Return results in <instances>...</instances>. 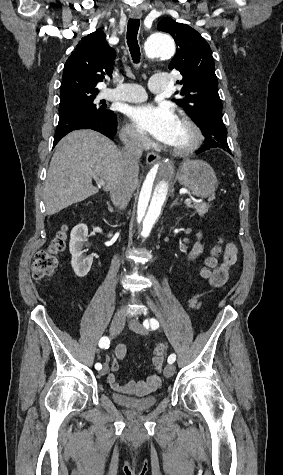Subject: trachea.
I'll return each instance as SVG.
<instances>
[{
    "label": "trachea",
    "instance_id": "1",
    "mask_svg": "<svg viewBox=\"0 0 283 475\" xmlns=\"http://www.w3.org/2000/svg\"><path fill=\"white\" fill-rule=\"evenodd\" d=\"M140 27V20L130 18L128 20L127 26V44L129 47V51L131 53V57L134 63L138 64L140 61V48L138 45L137 34Z\"/></svg>",
    "mask_w": 283,
    "mask_h": 475
}]
</instances>
